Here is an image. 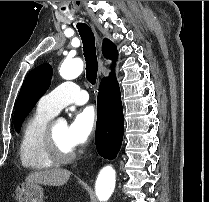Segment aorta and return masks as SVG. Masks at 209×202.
Masks as SVG:
<instances>
[{
	"label": "aorta",
	"mask_w": 209,
	"mask_h": 202,
	"mask_svg": "<svg viewBox=\"0 0 209 202\" xmlns=\"http://www.w3.org/2000/svg\"><path fill=\"white\" fill-rule=\"evenodd\" d=\"M83 71V61L80 58L66 59L61 64L59 73L63 79L77 78ZM116 182V172L112 166L103 167L97 177L95 193L100 202H106L111 197Z\"/></svg>",
	"instance_id": "obj_1"
}]
</instances>
